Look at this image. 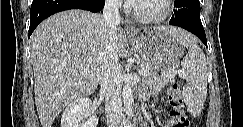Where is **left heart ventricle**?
<instances>
[{"label":"left heart ventricle","instance_id":"b2bd125f","mask_svg":"<svg viewBox=\"0 0 243 127\" xmlns=\"http://www.w3.org/2000/svg\"><path fill=\"white\" fill-rule=\"evenodd\" d=\"M138 11L143 15H156L163 11L162 0H142L137 3Z\"/></svg>","mask_w":243,"mask_h":127}]
</instances>
